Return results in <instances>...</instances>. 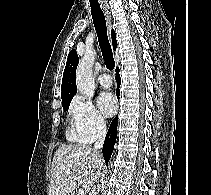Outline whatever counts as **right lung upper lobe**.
<instances>
[{
  "mask_svg": "<svg viewBox=\"0 0 211 195\" xmlns=\"http://www.w3.org/2000/svg\"><path fill=\"white\" fill-rule=\"evenodd\" d=\"M112 42H113V48H116V40H115V33L112 30ZM79 59L76 54L75 50L70 51L67 63L65 66V70L63 73V79H62V103H66L72 100L73 96L77 92V86H76V68L78 65Z\"/></svg>",
  "mask_w": 211,
  "mask_h": 195,
  "instance_id": "right-lung-upper-lobe-1",
  "label": "right lung upper lobe"
}]
</instances>
